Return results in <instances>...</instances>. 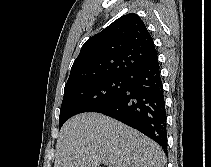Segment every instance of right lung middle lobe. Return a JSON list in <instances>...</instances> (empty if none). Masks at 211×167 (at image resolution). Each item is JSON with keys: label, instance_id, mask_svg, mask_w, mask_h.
I'll return each instance as SVG.
<instances>
[{"label": "right lung middle lobe", "instance_id": "obj_1", "mask_svg": "<svg viewBox=\"0 0 211 167\" xmlns=\"http://www.w3.org/2000/svg\"><path fill=\"white\" fill-rule=\"evenodd\" d=\"M125 88V76H107L64 89L59 129L70 117L83 112H95L110 103Z\"/></svg>", "mask_w": 211, "mask_h": 167}]
</instances>
